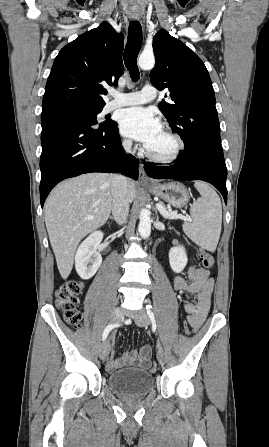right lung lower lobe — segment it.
I'll return each instance as SVG.
<instances>
[{
	"label": "right lung lower lobe",
	"mask_w": 269,
	"mask_h": 447,
	"mask_svg": "<svg viewBox=\"0 0 269 447\" xmlns=\"http://www.w3.org/2000/svg\"><path fill=\"white\" fill-rule=\"evenodd\" d=\"M41 206L60 181L89 172H122L138 179V160H123L117 126L93 128L70 110H48L41 115Z\"/></svg>",
	"instance_id": "98d812e1"
}]
</instances>
